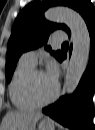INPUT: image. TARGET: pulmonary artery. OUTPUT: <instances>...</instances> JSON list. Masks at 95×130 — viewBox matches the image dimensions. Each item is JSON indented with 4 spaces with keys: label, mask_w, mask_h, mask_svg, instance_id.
<instances>
[{
    "label": "pulmonary artery",
    "mask_w": 95,
    "mask_h": 130,
    "mask_svg": "<svg viewBox=\"0 0 95 130\" xmlns=\"http://www.w3.org/2000/svg\"><path fill=\"white\" fill-rule=\"evenodd\" d=\"M66 35L63 31H56L52 34V41L57 43V42H62L65 39ZM20 60L27 62L33 66H35L37 62V51L36 50H30L25 52Z\"/></svg>",
    "instance_id": "pulmonary-artery-1"
}]
</instances>
